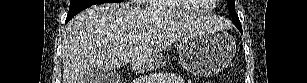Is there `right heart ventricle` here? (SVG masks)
<instances>
[{
    "label": "right heart ventricle",
    "mask_w": 307,
    "mask_h": 83,
    "mask_svg": "<svg viewBox=\"0 0 307 83\" xmlns=\"http://www.w3.org/2000/svg\"><path fill=\"white\" fill-rule=\"evenodd\" d=\"M212 8V6H209ZM148 8L156 10L160 13H171V12H179L186 11L184 8L180 7L177 1L174 0H151L149 1Z\"/></svg>",
    "instance_id": "right-heart-ventricle-1"
}]
</instances>
